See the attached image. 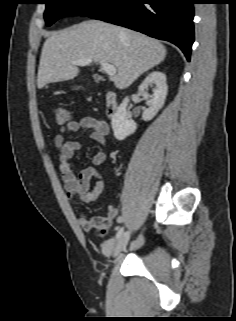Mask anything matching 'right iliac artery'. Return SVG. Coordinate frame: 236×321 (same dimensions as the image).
I'll list each match as a JSON object with an SVG mask.
<instances>
[{"label":"right iliac artery","instance_id":"obj_1","mask_svg":"<svg viewBox=\"0 0 236 321\" xmlns=\"http://www.w3.org/2000/svg\"><path fill=\"white\" fill-rule=\"evenodd\" d=\"M124 228H120L119 231L116 234V239H118L123 234Z\"/></svg>","mask_w":236,"mask_h":321}]
</instances>
